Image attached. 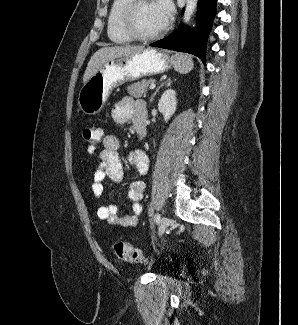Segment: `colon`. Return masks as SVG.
<instances>
[{
	"label": "colon",
	"instance_id": "obj_1",
	"mask_svg": "<svg viewBox=\"0 0 298 325\" xmlns=\"http://www.w3.org/2000/svg\"><path fill=\"white\" fill-rule=\"evenodd\" d=\"M102 135L101 128L92 123L84 127L82 132L83 141L90 153L96 151ZM113 253L118 259L126 262L138 263L143 260L142 254L137 248L123 241H117L113 244Z\"/></svg>",
	"mask_w": 298,
	"mask_h": 325
}]
</instances>
